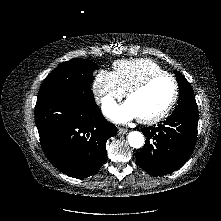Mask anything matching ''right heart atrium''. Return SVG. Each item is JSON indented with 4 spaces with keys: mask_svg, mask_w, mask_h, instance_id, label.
<instances>
[{
    "mask_svg": "<svg viewBox=\"0 0 221 221\" xmlns=\"http://www.w3.org/2000/svg\"><path fill=\"white\" fill-rule=\"evenodd\" d=\"M93 91L97 102L104 105L113 102L115 99L122 98L125 93L118 84L113 72L106 70H101L96 74Z\"/></svg>",
    "mask_w": 221,
    "mask_h": 221,
    "instance_id": "d8ad5b80",
    "label": "right heart atrium"
}]
</instances>
